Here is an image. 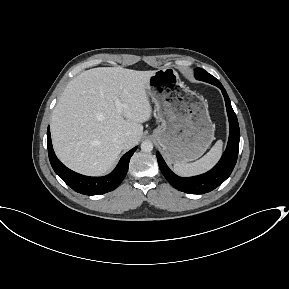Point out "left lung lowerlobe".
<instances>
[{
  "label": "left lung lower lobe",
  "mask_w": 289,
  "mask_h": 289,
  "mask_svg": "<svg viewBox=\"0 0 289 289\" xmlns=\"http://www.w3.org/2000/svg\"><path fill=\"white\" fill-rule=\"evenodd\" d=\"M218 87L221 89L225 98L230 123V135L226 151L224 152L220 161L215 165V167L202 175L190 178H182L175 175L168 168L159 152H157V160L161 172L169 181V183L180 191L190 194H202L210 192L221 185L230 176L236 164L240 139L238 120L235 112L232 109L226 90L222 85H219Z\"/></svg>",
  "instance_id": "left-lung-lower-lobe-1"
}]
</instances>
